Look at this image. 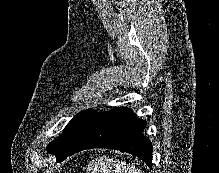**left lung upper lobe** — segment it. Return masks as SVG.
Here are the masks:
<instances>
[{
    "instance_id": "left-lung-upper-lobe-1",
    "label": "left lung upper lobe",
    "mask_w": 219,
    "mask_h": 173,
    "mask_svg": "<svg viewBox=\"0 0 219 173\" xmlns=\"http://www.w3.org/2000/svg\"><path fill=\"white\" fill-rule=\"evenodd\" d=\"M95 115L93 109L82 111L77 114L65 127L62 135L52 141L47 149L58 159L66 150H68L82 133L88 122Z\"/></svg>"
}]
</instances>
